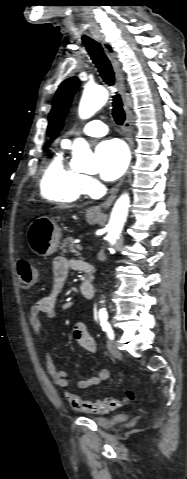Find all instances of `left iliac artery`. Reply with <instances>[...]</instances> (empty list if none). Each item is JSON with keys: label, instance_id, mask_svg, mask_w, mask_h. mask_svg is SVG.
<instances>
[{"label": "left iliac artery", "instance_id": "obj_1", "mask_svg": "<svg viewBox=\"0 0 187 479\" xmlns=\"http://www.w3.org/2000/svg\"><path fill=\"white\" fill-rule=\"evenodd\" d=\"M99 319H100V324L102 326L103 331H105L107 336L111 340H113L114 339V332L112 330V327H111L110 323L108 322V315L107 314L99 315Z\"/></svg>", "mask_w": 187, "mask_h": 479}]
</instances>
